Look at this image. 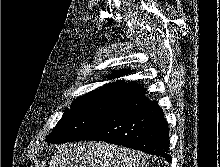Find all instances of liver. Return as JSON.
<instances>
[{"mask_svg":"<svg viewBox=\"0 0 220 167\" xmlns=\"http://www.w3.org/2000/svg\"><path fill=\"white\" fill-rule=\"evenodd\" d=\"M138 151L105 142H71L58 147L50 167H147Z\"/></svg>","mask_w":220,"mask_h":167,"instance_id":"liver-1","label":"liver"}]
</instances>
